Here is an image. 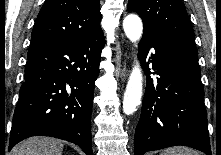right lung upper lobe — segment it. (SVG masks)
I'll list each match as a JSON object with an SVG mask.
<instances>
[{
	"mask_svg": "<svg viewBox=\"0 0 221 155\" xmlns=\"http://www.w3.org/2000/svg\"><path fill=\"white\" fill-rule=\"evenodd\" d=\"M99 0H47L31 35V44L77 40L102 31Z\"/></svg>",
	"mask_w": 221,
	"mask_h": 155,
	"instance_id": "cb5924a9",
	"label": "right lung upper lobe"
}]
</instances>
